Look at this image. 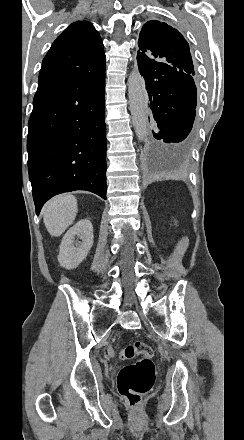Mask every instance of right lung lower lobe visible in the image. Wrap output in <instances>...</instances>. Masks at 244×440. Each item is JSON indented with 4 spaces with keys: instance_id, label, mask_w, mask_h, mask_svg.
<instances>
[{
    "instance_id": "1",
    "label": "right lung lower lobe",
    "mask_w": 244,
    "mask_h": 440,
    "mask_svg": "<svg viewBox=\"0 0 244 440\" xmlns=\"http://www.w3.org/2000/svg\"><path fill=\"white\" fill-rule=\"evenodd\" d=\"M28 127L37 215L63 192L87 190L106 199L105 64L40 81Z\"/></svg>"
}]
</instances>
